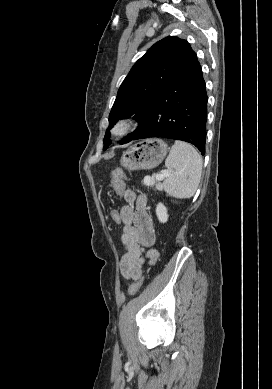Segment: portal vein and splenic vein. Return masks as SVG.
<instances>
[{
    "label": "portal vein and splenic vein",
    "instance_id": "18ae733b",
    "mask_svg": "<svg viewBox=\"0 0 272 389\" xmlns=\"http://www.w3.org/2000/svg\"><path fill=\"white\" fill-rule=\"evenodd\" d=\"M170 175H171V172L165 171V172H162L161 174H158V175H156L155 177H152V178L146 176L144 178V181H145L146 184H150L151 183V179L154 180V178H155L157 181H161V180L165 179L166 177H169Z\"/></svg>",
    "mask_w": 272,
    "mask_h": 389
}]
</instances>
